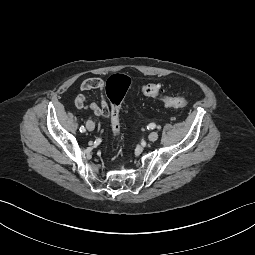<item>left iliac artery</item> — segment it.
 I'll list each match as a JSON object with an SVG mask.
<instances>
[{"label": "left iliac artery", "mask_w": 255, "mask_h": 255, "mask_svg": "<svg viewBox=\"0 0 255 255\" xmlns=\"http://www.w3.org/2000/svg\"><path fill=\"white\" fill-rule=\"evenodd\" d=\"M156 127V124L155 123H150L148 126H147V129L148 130H151V129H154Z\"/></svg>", "instance_id": "left-iliac-artery-1"}]
</instances>
